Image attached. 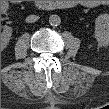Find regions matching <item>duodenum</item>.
Wrapping results in <instances>:
<instances>
[{"label": "duodenum", "mask_w": 109, "mask_h": 109, "mask_svg": "<svg viewBox=\"0 0 109 109\" xmlns=\"http://www.w3.org/2000/svg\"><path fill=\"white\" fill-rule=\"evenodd\" d=\"M35 6L39 10H44V9L49 8V7L55 6V4L51 1H36Z\"/></svg>", "instance_id": "1"}]
</instances>
